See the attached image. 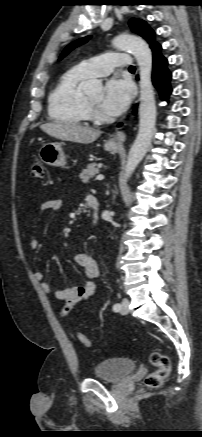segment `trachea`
I'll use <instances>...</instances> for the list:
<instances>
[{"instance_id":"3493384b","label":"trachea","mask_w":202,"mask_h":437,"mask_svg":"<svg viewBox=\"0 0 202 437\" xmlns=\"http://www.w3.org/2000/svg\"><path fill=\"white\" fill-rule=\"evenodd\" d=\"M129 70H135V66H130Z\"/></svg>"}]
</instances>
